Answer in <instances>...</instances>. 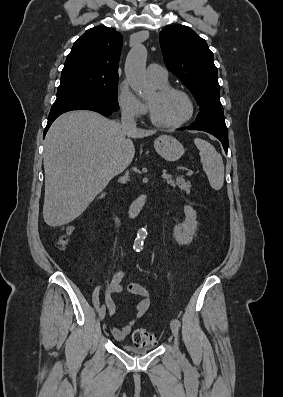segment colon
<instances>
[{
  "mask_svg": "<svg viewBox=\"0 0 283 397\" xmlns=\"http://www.w3.org/2000/svg\"><path fill=\"white\" fill-rule=\"evenodd\" d=\"M72 233V227H67L65 229V234H63L59 241L58 247L64 248L68 242V238ZM156 335L150 330L139 328L136 329L133 333L132 340L135 346L144 347L149 346L155 341Z\"/></svg>",
  "mask_w": 283,
  "mask_h": 397,
  "instance_id": "obj_1",
  "label": "colon"
}]
</instances>
